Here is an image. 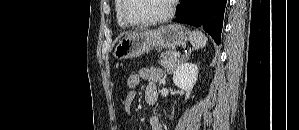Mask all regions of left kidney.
Listing matches in <instances>:
<instances>
[{
	"label": "left kidney",
	"instance_id": "5707ae66",
	"mask_svg": "<svg viewBox=\"0 0 299 130\" xmlns=\"http://www.w3.org/2000/svg\"><path fill=\"white\" fill-rule=\"evenodd\" d=\"M198 66L196 64L184 62L174 71V84L186 92L185 100L189 99L192 89L197 81Z\"/></svg>",
	"mask_w": 299,
	"mask_h": 130
}]
</instances>
